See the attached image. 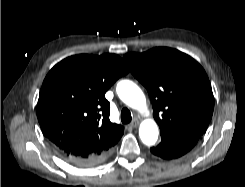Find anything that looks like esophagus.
<instances>
[{"mask_svg": "<svg viewBox=\"0 0 245 187\" xmlns=\"http://www.w3.org/2000/svg\"><path fill=\"white\" fill-rule=\"evenodd\" d=\"M139 123H140L139 119L134 118V119L132 120V122L130 123V126H131L132 128H135V127H137V126L139 125Z\"/></svg>", "mask_w": 245, "mask_h": 187, "instance_id": "esophagus-1", "label": "esophagus"}]
</instances>
